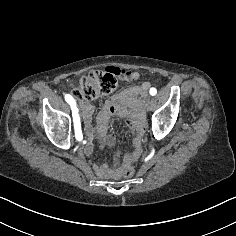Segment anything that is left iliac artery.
I'll return each instance as SVG.
<instances>
[{
    "instance_id": "obj_1",
    "label": "left iliac artery",
    "mask_w": 236,
    "mask_h": 236,
    "mask_svg": "<svg viewBox=\"0 0 236 236\" xmlns=\"http://www.w3.org/2000/svg\"><path fill=\"white\" fill-rule=\"evenodd\" d=\"M150 94L152 95V96H154V95H156V93H157V90L155 89V88H150Z\"/></svg>"
}]
</instances>
